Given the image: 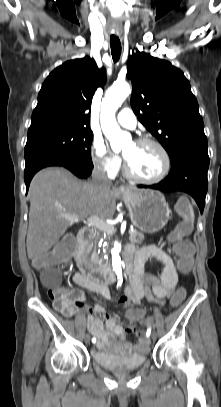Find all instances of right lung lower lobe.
<instances>
[{"instance_id":"98d812e1","label":"right lung lower lobe","mask_w":221,"mask_h":407,"mask_svg":"<svg viewBox=\"0 0 221 407\" xmlns=\"http://www.w3.org/2000/svg\"><path fill=\"white\" fill-rule=\"evenodd\" d=\"M48 166H62L70 170L80 178H87L92 171V168H87L83 165L75 163L70 159L52 152L39 153L30 159L26 160L24 178L26 184V193L29 189L30 181L34 174L42 168Z\"/></svg>"}]
</instances>
